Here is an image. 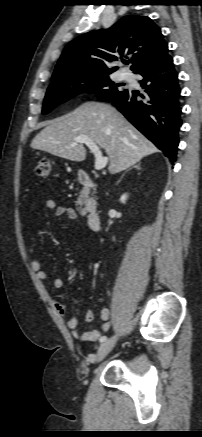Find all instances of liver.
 I'll return each mask as SVG.
<instances>
[{
	"label": "liver",
	"mask_w": 202,
	"mask_h": 437,
	"mask_svg": "<svg viewBox=\"0 0 202 437\" xmlns=\"http://www.w3.org/2000/svg\"><path fill=\"white\" fill-rule=\"evenodd\" d=\"M86 136L103 148L110 174H117L158 149L124 116L108 104L87 102L73 112L51 120L31 142V148L75 162L86 158L81 144L70 146L78 136Z\"/></svg>",
	"instance_id": "liver-1"
}]
</instances>
